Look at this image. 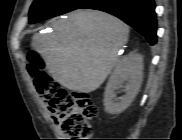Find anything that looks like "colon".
<instances>
[{"mask_svg": "<svg viewBox=\"0 0 182 140\" xmlns=\"http://www.w3.org/2000/svg\"><path fill=\"white\" fill-rule=\"evenodd\" d=\"M27 71L40 97L55 113L61 130L72 137H89L90 121L98 115L97 106L92 98L84 93L65 91L43 70L42 62L36 54L29 56Z\"/></svg>", "mask_w": 182, "mask_h": 140, "instance_id": "5ec220e1", "label": "colon"}]
</instances>
